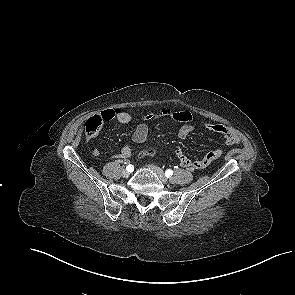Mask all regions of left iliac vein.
Returning <instances> with one entry per match:
<instances>
[{"label":"left iliac vein","mask_w":295,"mask_h":295,"mask_svg":"<svg viewBox=\"0 0 295 295\" xmlns=\"http://www.w3.org/2000/svg\"><path fill=\"white\" fill-rule=\"evenodd\" d=\"M149 168L158 176V178L165 184L168 183V178L164 175L162 169L155 165H149Z\"/></svg>","instance_id":"1"}]
</instances>
